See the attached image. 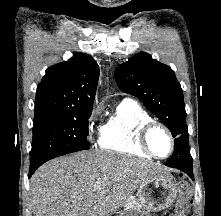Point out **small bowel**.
I'll return each mask as SVG.
<instances>
[{"mask_svg": "<svg viewBox=\"0 0 221 216\" xmlns=\"http://www.w3.org/2000/svg\"><path fill=\"white\" fill-rule=\"evenodd\" d=\"M175 216H185V215H183L182 213H178Z\"/></svg>", "mask_w": 221, "mask_h": 216, "instance_id": "obj_1", "label": "small bowel"}]
</instances>
